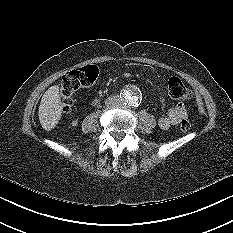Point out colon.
Here are the masks:
<instances>
[{
  "label": "colon",
  "mask_w": 233,
  "mask_h": 233,
  "mask_svg": "<svg viewBox=\"0 0 233 233\" xmlns=\"http://www.w3.org/2000/svg\"><path fill=\"white\" fill-rule=\"evenodd\" d=\"M98 76L99 69L95 65H88L79 69H74L63 76L60 96L64 112H68L71 109L74 92L81 88L91 87L98 79ZM167 85L169 95L173 99L181 101L191 99V90L180 78L170 77ZM179 128L182 131H187L190 128L189 121L186 118L182 119L179 123Z\"/></svg>",
  "instance_id": "1"
}]
</instances>
